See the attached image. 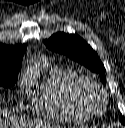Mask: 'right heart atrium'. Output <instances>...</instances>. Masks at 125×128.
Masks as SVG:
<instances>
[{"mask_svg": "<svg viewBox=\"0 0 125 128\" xmlns=\"http://www.w3.org/2000/svg\"><path fill=\"white\" fill-rule=\"evenodd\" d=\"M22 87L27 88L28 87V82L26 80L22 81Z\"/></svg>", "mask_w": 125, "mask_h": 128, "instance_id": "obj_1", "label": "right heart atrium"}]
</instances>
